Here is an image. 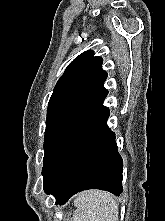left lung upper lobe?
Segmentation results:
<instances>
[{
    "label": "left lung upper lobe",
    "mask_w": 165,
    "mask_h": 221,
    "mask_svg": "<svg viewBox=\"0 0 165 221\" xmlns=\"http://www.w3.org/2000/svg\"><path fill=\"white\" fill-rule=\"evenodd\" d=\"M102 63L92 50L85 51L58 80L48 104L43 163L61 137L107 96Z\"/></svg>",
    "instance_id": "obj_1"
}]
</instances>
